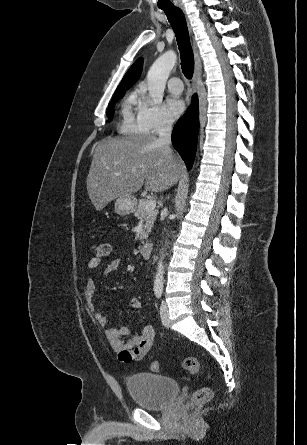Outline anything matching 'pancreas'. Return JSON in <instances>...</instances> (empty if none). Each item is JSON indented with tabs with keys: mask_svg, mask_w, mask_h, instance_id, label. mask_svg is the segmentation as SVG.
Here are the masks:
<instances>
[{
	"mask_svg": "<svg viewBox=\"0 0 307 445\" xmlns=\"http://www.w3.org/2000/svg\"><path fill=\"white\" fill-rule=\"evenodd\" d=\"M148 198H139L138 206L134 212L135 216L137 218H145V223L143 225V231L139 237L140 241H144V239H147L148 233H150L151 227L154 225V220L157 216L158 210H146V202Z\"/></svg>",
	"mask_w": 307,
	"mask_h": 445,
	"instance_id": "cf45deb5",
	"label": "pancreas"
}]
</instances>
